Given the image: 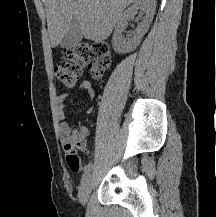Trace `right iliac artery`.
Masks as SVG:
<instances>
[{"label": "right iliac artery", "instance_id": "1", "mask_svg": "<svg viewBox=\"0 0 216 217\" xmlns=\"http://www.w3.org/2000/svg\"><path fill=\"white\" fill-rule=\"evenodd\" d=\"M91 169H92V162H90V163L85 167L84 173H83V175H82V182L87 178V176L89 175Z\"/></svg>", "mask_w": 216, "mask_h": 217}]
</instances>
